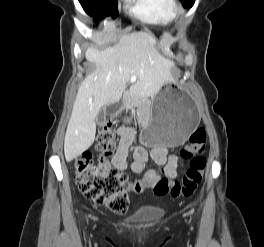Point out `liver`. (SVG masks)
<instances>
[{
    "label": "liver",
    "instance_id": "obj_1",
    "mask_svg": "<svg viewBox=\"0 0 264 247\" xmlns=\"http://www.w3.org/2000/svg\"><path fill=\"white\" fill-rule=\"evenodd\" d=\"M156 39L143 31L123 35L119 42L99 51L86 50L87 61L95 65L78 89L64 139L67 162L86 151L94 142L101 108L118 102L126 83L135 76L131 94L153 97L171 81L173 63L155 48Z\"/></svg>",
    "mask_w": 264,
    "mask_h": 247
}]
</instances>
